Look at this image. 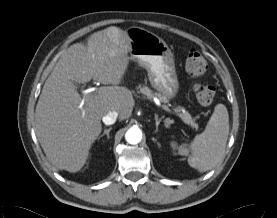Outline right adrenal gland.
<instances>
[{
    "mask_svg": "<svg viewBox=\"0 0 277 218\" xmlns=\"http://www.w3.org/2000/svg\"><path fill=\"white\" fill-rule=\"evenodd\" d=\"M111 130H112V127H109L108 129H105L104 132L98 137V139H100L104 135H106L107 139H109V133H110Z\"/></svg>",
    "mask_w": 277,
    "mask_h": 218,
    "instance_id": "right-adrenal-gland-1",
    "label": "right adrenal gland"
}]
</instances>
